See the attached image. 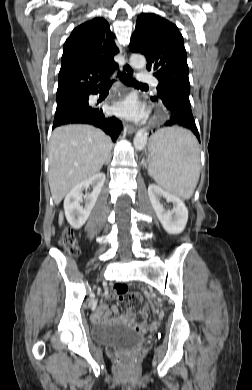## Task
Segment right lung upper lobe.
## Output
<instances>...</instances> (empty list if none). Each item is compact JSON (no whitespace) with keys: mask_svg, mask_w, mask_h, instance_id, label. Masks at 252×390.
<instances>
[{"mask_svg":"<svg viewBox=\"0 0 252 390\" xmlns=\"http://www.w3.org/2000/svg\"><path fill=\"white\" fill-rule=\"evenodd\" d=\"M114 34L103 18L76 27L64 43L56 100L61 103L98 89V81L116 69L113 56L119 52Z\"/></svg>","mask_w":252,"mask_h":390,"instance_id":"right-lung-upper-lobe-1","label":"right lung upper lobe"}]
</instances>
